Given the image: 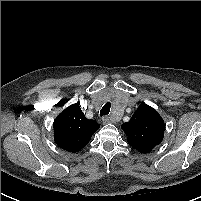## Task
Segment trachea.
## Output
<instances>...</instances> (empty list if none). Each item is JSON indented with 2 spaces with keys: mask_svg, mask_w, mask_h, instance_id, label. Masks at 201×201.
Listing matches in <instances>:
<instances>
[{
  "mask_svg": "<svg viewBox=\"0 0 201 201\" xmlns=\"http://www.w3.org/2000/svg\"><path fill=\"white\" fill-rule=\"evenodd\" d=\"M110 108H111V103H110V102H107V103L102 107V109L100 110V116H104V115L109 114Z\"/></svg>",
  "mask_w": 201,
  "mask_h": 201,
  "instance_id": "1",
  "label": "trachea"
}]
</instances>
